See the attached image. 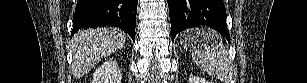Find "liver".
<instances>
[{
	"instance_id": "obj_1",
	"label": "liver",
	"mask_w": 307,
	"mask_h": 83,
	"mask_svg": "<svg viewBox=\"0 0 307 83\" xmlns=\"http://www.w3.org/2000/svg\"><path fill=\"white\" fill-rule=\"evenodd\" d=\"M126 34L116 28H93L77 32L72 40V73L80 78L103 58L120 50Z\"/></svg>"
}]
</instances>
